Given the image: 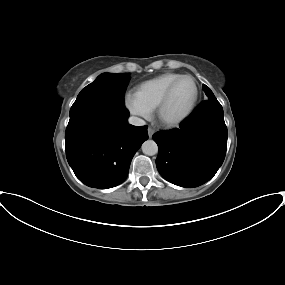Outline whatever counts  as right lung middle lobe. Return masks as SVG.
<instances>
[{
	"mask_svg": "<svg viewBox=\"0 0 285 285\" xmlns=\"http://www.w3.org/2000/svg\"><path fill=\"white\" fill-rule=\"evenodd\" d=\"M128 73H103L91 84L87 85L78 95L70 109L72 116L80 109L93 102H108L118 106H125L124 94L129 83Z\"/></svg>",
	"mask_w": 285,
	"mask_h": 285,
	"instance_id": "1",
	"label": "right lung middle lobe"
}]
</instances>
